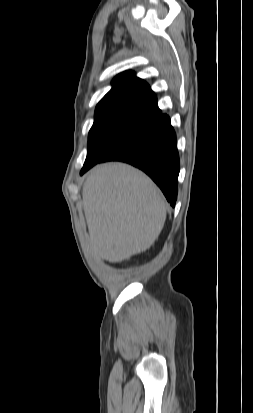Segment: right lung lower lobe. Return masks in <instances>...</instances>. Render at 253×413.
Wrapping results in <instances>:
<instances>
[{
	"label": "right lung lower lobe",
	"instance_id": "obj_1",
	"mask_svg": "<svg viewBox=\"0 0 253 413\" xmlns=\"http://www.w3.org/2000/svg\"><path fill=\"white\" fill-rule=\"evenodd\" d=\"M106 161H122L143 170L160 187L171 206H175L180 164L176 134L168 116L151 131L115 150L100 162ZM87 170H81L80 174Z\"/></svg>",
	"mask_w": 253,
	"mask_h": 413
}]
</instances>
